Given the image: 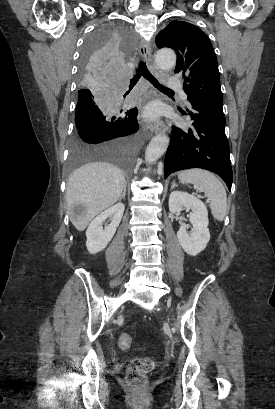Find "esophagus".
I'll list each match as a JSON object with an SVG mask.
<instances>
[{
    "instance_id": "1",
    "label": "esophagus",
    "mask_w": 275,
    "mask_h": 409,
    "mask_svg": "<svg viewBox=\"0 0 275 409\" xmlns=\"http://www.w3.org/2000/svg\"><path fill=\"white\" fill-rule=\"evenodd\" d=\"M139 54L141 57L144 59L149 60L151 58V46L150 43L147 42L146 40H141L139 49H138ZM164 123L162 121H157L156 124L150 126V130L154 134H159L164 132Z\"/></svg>"
}]
</instances>
